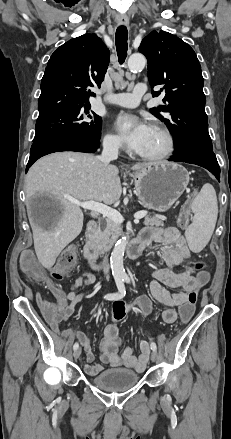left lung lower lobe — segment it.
<instances>
[{
    "mask_svg": "<svg viewBox=\"0 0 231 439\" xmlns=\"http://www.w3.org/2000/svg\"><path fill=\"white\" fill-rule=\"evenodd\" d=\"M169 160L199 165L209 170L217 180L220 179V167L212 149L197 146L188 147L179 152H175Z\"/></svg>",
    "mask_w": 231,
    "mask_h": 439,
    "instance_id": "0a47b994",
    "label": "left lung lower lobe"
}]
</instances>
